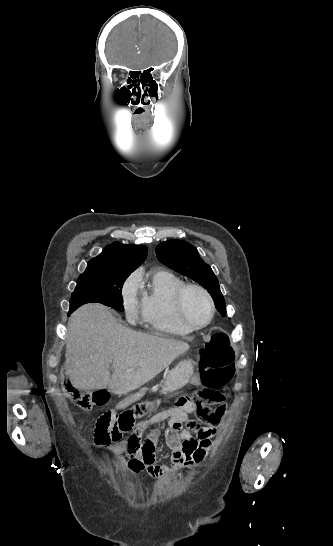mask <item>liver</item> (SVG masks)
<instances>
[{
  "mask_svg": "<svg viewBox=\"0 0 333 546\" xmlns=\"http://www.w3.org/2000/svg\"><path fill=\"white\" fill-rule=\"evenodd\" d=\"M68 329L65 364L67 376L78 390L108 387L114 394H127L153 379L190 347L124 327L99 303L78 308ZM110 364L114 368L111 377Z\"/></svg>",
  "mask_w": 333,
  "mask_h": 546,
  "instance_id": "6515ba94",
  "label": "liver"
}]
</instances>
